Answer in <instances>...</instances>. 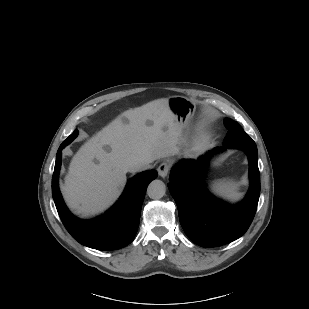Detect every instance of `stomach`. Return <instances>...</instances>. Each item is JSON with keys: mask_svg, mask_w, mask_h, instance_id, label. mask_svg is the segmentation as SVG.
<instances>
[{"mask_svg": "<svg viewBox=\"0 0 309 309\" xmlns=\"http://www.w3.org/2000/svg\"><path fill=\"white\" fill-rule=\"evenodd\" d=\"M169 108L175 116V121L179 126L180 140L187 144V131L196 111V105L191 100L183 96H172L168 99Z\"/></svg>", "mask_w": 309, "mask_h": 309, "instance_id": "stomach-1", "label": "stomach"}]
</instances>
